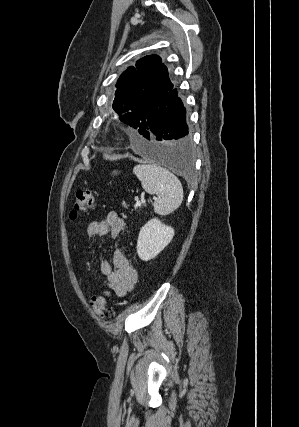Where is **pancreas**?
<instances>
[{"label": "pancreas", "instance_id": "cf45deb5", "mask_svg": "<svg viewBox=\"0 0 299 427\" xmlns=\"http://www.w3.org/2000/svg\"><path fill=\"white\" fill-rule=\"evenodd\" d=\"M137 206L141 207V203H138Z\"/></svg>", "mask_w": 299, "mask_h": 427}]
</instances>
